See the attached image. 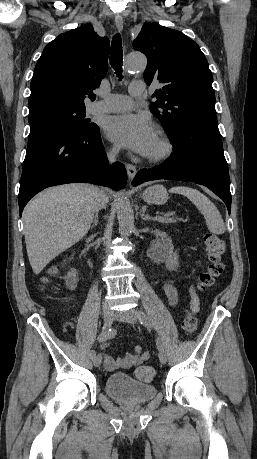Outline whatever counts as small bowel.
Here are the masks:
<instances>
[{"label":"small bowel","mask_w":257,"mask_h":459,"mask_svg":"<svg viewBox=\"0 0 257 459\" xmlns=\"http://www.w3.org/2000/svg\"><path fill=\"white\" fill-rule=\"evenodd\" d=\"M162 288L166 295L169 306L172 308L177 307L179 303V294L175 286L169 280L163 279ZM189 294L191 297L190 308L193 312L198 313L200 310V299L197 296L192 284L189 287ZM106 347V343H103L100 346L101 349H105ZM149 357L150 353L148 351H144L142 346L137 345L134 347L133 353H128L119 359H114L110 355H104V364L107 371H114L118 368L138 366L144 361L148 360Z\"/></svg>","instance_id":"obj_1"}]
</instances>
